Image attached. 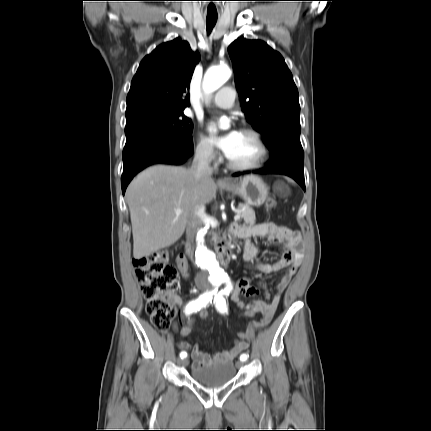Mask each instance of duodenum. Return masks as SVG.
Segmentation results:
<instances>
[{
    "label": "duodenum",
    "instance_id": "obj_1",
    "mask_svg": "<svg viewBox=\"0 0 431 431\" xmlns=\"http://www.w3.org/2000/svg\"><path fill=\"white\" fill-rule=\"evenodd\" d=\"M231 249H232V244L229 241H224L219 244L218 256H219L220 262L223 265H227L230 263ZM189 255H190V246L186 245L185 255H181L179 257L183 258V260L186 262V256H189Z\"/></svg>",
    "mask_w": 431,
    "mask_h": 431
}]
</instances>
